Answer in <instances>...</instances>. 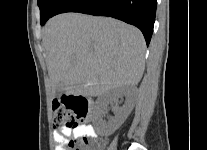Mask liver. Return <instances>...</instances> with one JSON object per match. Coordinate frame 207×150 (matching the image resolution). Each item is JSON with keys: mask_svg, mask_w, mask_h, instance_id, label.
Instances as JSON below:
<instances>
[{"mask_svg": "<svg viewBox=\"0 0 207 150\" xmlns=\"http://www.w3.org/2000/svg\"><path fill=\"white\" fill-rule=\"evenodd\" d=\"M43 46L53 93L62 85L67 94L96 97L143 76L142 33L113 18L57 15L43 29Z\"/></svg>", "mask_w": 207, "mask_h": 150, "instance_id": "6515ba94", "label": "liver"}]
</instances>
